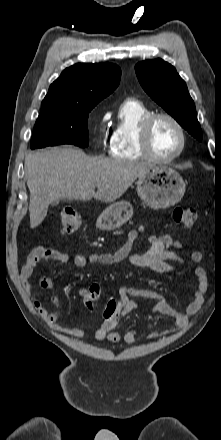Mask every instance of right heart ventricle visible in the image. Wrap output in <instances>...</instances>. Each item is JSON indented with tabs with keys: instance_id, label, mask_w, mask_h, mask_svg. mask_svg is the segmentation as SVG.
I'll return each mask as SVG.
<instances>
[{
	"instance_id": "obj_1",
	"label": "right heart ventricle",
	"mask_w": 221,
	"mask_h": 440,
	"mask_svg": "<svg viewBox=\"0 0 221 440\" xmlns=\"http://www.w3.org/2000/svg\"><path fill=\"white\" fill-rule=\"evenodd\" d=\"M151 114L150 109L137 99L124 100L118 111V120L109 140L112 158L138 160L146 158L139 143L141 121Z\"/></svg>"
}]
</instances>
